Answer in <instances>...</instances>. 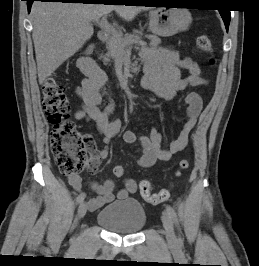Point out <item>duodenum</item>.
<instances>
[{
    "label": "duodenum",
    "instance_id": "410a0bca",
    "mask_svg": "<svg viewBox=\"0 0 259 266\" xmlns=\"http://www.w3.org/2000/svg\"><path fill=\"white\" fill-rule=\"evenodd\" d=\"M109 38V34L107 31H100L98 34V39L99 42H105ZM97 46L96 45H91L84 57V59L80 63L81 70L83 73L88 76L92 77L96 74V66L91 58L92 54L96 51Z\"/></svg>",
    "mask_w": 259,
    "mask_h": 266
}]
</instances>
